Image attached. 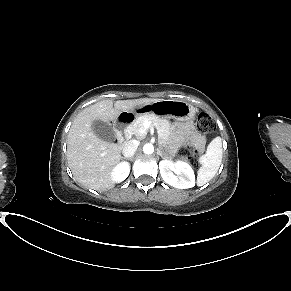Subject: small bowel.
I'll return each mask as SVG.
<instances>
[{
  "label": "small bowel",
  "mask_w": 291,
  "mask_h": 291,
  "mask_svg": "<svg viewBox=\"0 0 291 291\" xmlns=\"http://www.w3.org/2000/svg\"><path fill=\"white\" fill-rule=\"evenodd\" d=\"M185 138L189 141H200L195 130L190 125H184L183 127Z\"/></svg>",
  "instance_id": "small-bowel-1"
}]
</instances>
